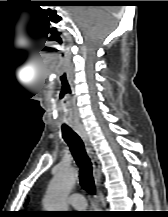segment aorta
<instances>
[{
  "label": "aorta",
  "instance_id": "762f6f07",
  "mask_svg": "<svg viewBox=\"0 0 168 217\" xmlns=\"http://www.w3.org/2000/svg\"><path fill=\"white\" fill-rule=\"evenodd\" d=\"M76 181V173L72 168H61L48 185L44 198L46 211H67V197Z\"/></svg>",
  "mask_w": 168,
  "mask_h": 217
}]
</instances>
